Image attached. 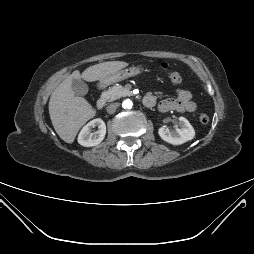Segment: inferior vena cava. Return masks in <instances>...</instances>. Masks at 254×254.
Segmentation results:
<instances>
[{
    "instance_id": "inferior-vena-cava-1",
    "label": "inferior vena cava",
    "mask_w": 254,
    "mask_h": 254,
    "mask_svg": "<svg viewBox=\"0 0 254 254\" xmlns=\"http://www.w3.org/2000/svg\"><path fill=\"white\" fill-rule=\"evenodd\" d=\"M118 106H119V103H111L107 107V112L109 114H113L116 111V109L118 108Z\"/></svg>"
}]
</instances>
